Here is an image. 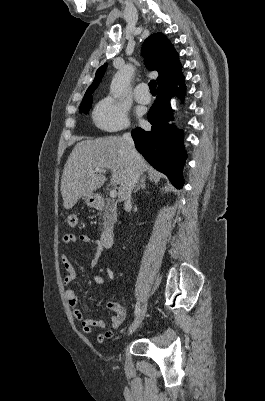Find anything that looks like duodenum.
Returning a JSON list of instances; mask_svg holds the SVG:
<instances>
[{
    "label": "duodenum",
    "instance_id": "1",
    "mask_svg": "<svg viewBox=\"0 0 265 401\" xmlns=\"http://www.w3.org/2000/svg\"><path fill=\"white\" fill-rule=\"evenodd\" d=\"M115 240V235L111 230H104L100 237V242L105 248H110Z\"/></svg>",
    "mask_w": 265,
    "mask_h": 401
}]
</instances>
